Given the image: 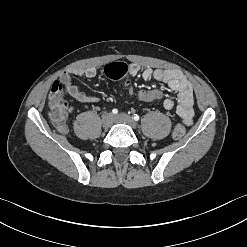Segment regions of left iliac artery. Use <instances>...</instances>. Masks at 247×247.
<instances>
[{
	"instance_id": "obj_1",
	"label": "left iliac artery",
	"mask_w": 247,
	"mask_h": 247,
	"mask_svg": "<svg viewBox=\"0 0 247 247\" xmlns=\"http://www.w3.org/2000/svg\"><path fill=\"white\" fill-rule=\"evenodd\" d=\"M132 119H133L134 121H138V120H139V115L134 114V115L132 116Z\"/></svg>"
}]
</instances>
